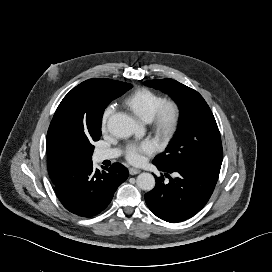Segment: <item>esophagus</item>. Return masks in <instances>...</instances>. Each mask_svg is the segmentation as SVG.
Instances as JSON below:
<instances>
[{"label":"esophagus","mask_w":272,"mask_h":272,"mask_svg":"<svg viewBox=\"0 0 272 272\" xmlns=\"http://www.w3.org/2000/svg\"><path fill=\"white\" fill-rule=\"evenodd\" d=\"M141 172L140 169H137V168H129V173L130 175H136V174H139Z\"/></svg>","instance_id":"34e87169"}]
</instances>
